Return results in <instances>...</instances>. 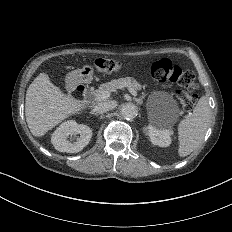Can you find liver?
Wrapping results in <instances>:
<instances>
[{
    "mask_svg": "<svg viewBox=\"0 0 232 232\" xmlns=\"http://www.w3.org/2000/svg\"><path fill=\"white\" fill-rule=\"evenodd\" d=\"M83 108L81 101L63 94L45 73H40L26 92V122L32 135L37 137L43 136L69 115L79 113Z\"/></svg>",
    "mask_w": 232,
    "mask_h": 232,
    "instance_id": "1",
    "label": "liver"
}]
</instances>
